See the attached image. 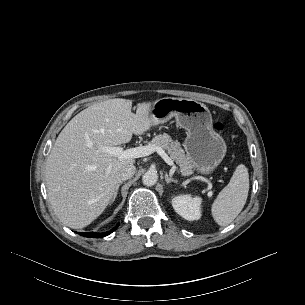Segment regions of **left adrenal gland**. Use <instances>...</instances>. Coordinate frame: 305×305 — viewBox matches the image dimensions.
<instances>
[{"mask_svg": "<svg viewBox=\"0 0 305 305\" xmlns=\"http://www.w3.org/2000/svg\"><path fill=\"white\" fill-rule=\"evenodd\" d=\"M165 181L167 184H170L171 182L177 183V180L173 179L171 176L165 175Z\"/></svg>", "mask_w": 305, "mask_h": 305, "instance_id": "left-adrenal-gland-1", "label": "left adrenal gland"}]
</instances>
